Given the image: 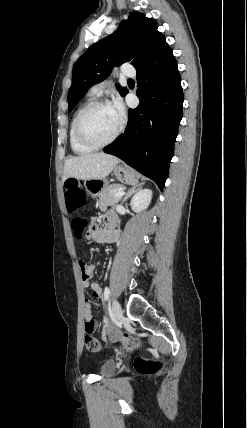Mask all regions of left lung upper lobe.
Here are the masks:
<instances>
[{"label": "left lung upper lobe", "mask_w": 247, "mask_h": 428, "mask_svg": "<svg viewBox=\"0 0 247 428\" xmlns=\"http://www.w3.org/2000/svg\"><path fill=\"white\" fill-rule=\"evenodd\" d=\"M157 23L144 14L133 12L110 36L92 45L73 67L72 85L68 92V111L84 96L88 89L106 79L113 66L131 63L136 70L159 53L170 48ZM124 96L128 90L117 85Z\"/></svg>", "instance_id": "obj_1"}]
</instances>
